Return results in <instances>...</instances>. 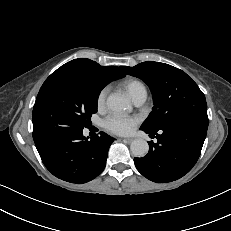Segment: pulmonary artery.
Masks as SVG:
<instances>
[{"mask_svg": "<svg viewBox=\"0 0 231 231\" xmlns=\"http://www.w3.org/2000/svg\"><path fill=\"white\" fill-rule=\"evenodd\" d=\"M145 99H146V97L140 96V97L134 99L133 101H134L135 105L140 106L145 102Z\"/></svg>", "mask_w": 231, "mask_h": 231, "instance_id": "e3ab8cb5", "label": "pulmonary artery"}]
</instances>
